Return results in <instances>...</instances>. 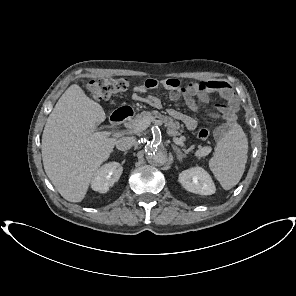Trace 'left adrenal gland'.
<instances>
[{
	"instance_id": "left-adrenal-gland-1",
	"label": "left adrenal gland",
	"mask_w": 296,
	"mask_h": 296,
	"mask_svg": "<svg viewBox=\"0 0 296 296\" xmlns=\"http://www.w3.org/2000/svg\"><path fill=\"white\" fill-rule=\"evenodd\" d=\"M172 148L177 154V159L181 162L182 159L186 157V155L176 145L173 144Z\"/></svg>"
}]
</instances>
